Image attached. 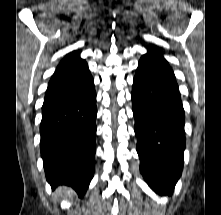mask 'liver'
Listing matches in <instances>:
<instances>
[{
	"instance_id": "6515ba94",
	"label": "liver",
	"mask_w": 221,
	"mask_h": 215,
	"mask_svg": "<svg viewBox=\"0 0 221 215\" xmlns=\"http://www.w3.org/2000/svg\"><path fill=\"white\" fill-rule=\"evenodd\" d=\"M59 193H64L66 196H72L74 194L73 190L67 187H59Z\"/></svg>"
}]
</instances>
